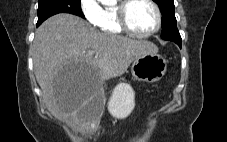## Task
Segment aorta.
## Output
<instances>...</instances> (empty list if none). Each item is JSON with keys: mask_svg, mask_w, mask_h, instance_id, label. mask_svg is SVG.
<instances>
[{"mask_svg": "<svg viewBox=\"0 0 227 142\" xmlns=\"http://www.w3.org/2000/svg\"><path fill=\"white\" fill-rule=\"evenodd\" d=\"M117 0H102L103 3L105 4H114L116 3Z\"/></svg>", "mask_w": 227, "mask_h": 142, "instance_id": "762f6f07", "label": "aorta"}]
</instances>
